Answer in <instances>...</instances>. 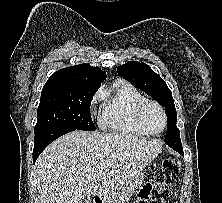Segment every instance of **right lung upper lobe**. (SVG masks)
<instances>
[{
  "instance_id": "cb5924a9",
  "label": "right lung upper lobe",
  "mask_w": 222,
  "mask_h": 203,
  "mask_svg": "<svg viewBox=\"0 0 222 203\" xmlns=\"http://www.w3.org/2000/svg\"><path fill=\"white\" fill-rule=\"evenodd\" d=\"M106 79L99 67L79 64L56 71L46 82L43 90L49 88H72L98 90Z\"/></svg>"
}]
</instances>
